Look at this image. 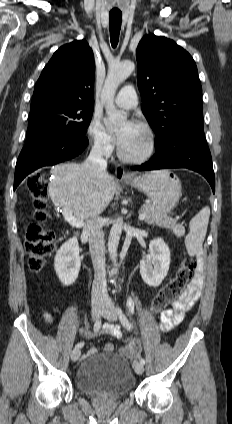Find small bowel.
Returning <instances> with one entry per match:
<instances>
[{"label":"small bowel","mask_w":232,"mask_h":424,"mask_svg":"<svg viewBox=\"0 0 232 424\" xmlns=\"http://www.w3.org/2000/svg\"><path fill=\"white\" fill-rule=\"evenodd\" d=\"M201 257H199L198 262L199 266L197 269V272L195 273L192 281L190 282L187 290L180 296V298L173 304V309H167L160 313V329L163 331H168L173 329L174 327L178 326L184 319V316L186 312L195 304V302L198 300L201 292V287L203 285V274H202V268H201ZM129 304H131V301H129ZM44 317L47 322H52V317L49 313H45ZM80 335L83 338L91 339L99 334H107L110 336H113L115 338H121L122 333L120 330V327L117 324L112 323H106L102 327V329L99 331L89 330L82 328L80 329ZM133 348H128L126 344H124L120 351L132 358L136 359L140 354V347L139 344L135 341ZM104 351L107 353H112L117 350V347L112 343H107L104 345ZM98 350L96 347L92 346L89 348L87 354L88 355H95L97 354Z\"/></svg>","instance_id":"c3829d8e"}]
</instances>
